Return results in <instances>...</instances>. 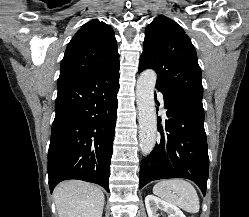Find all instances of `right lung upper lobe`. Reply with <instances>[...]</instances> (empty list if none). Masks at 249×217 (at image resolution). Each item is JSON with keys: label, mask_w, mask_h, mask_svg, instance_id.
<instances>
[{"label": "right lung upper lobe", "mask_w": 249, "mask_h": 217, "mask_svg": "<svg viewBox=\"0 0 249 217\" xmlns=\"http://www.w3.org/2000/svg\"><path fill=\"white\" fill-rule=\"evenodd\" d=\"M119 65L113 29L97 19L91 20L69 42L61 62L60 76H95Z\"/></svg>", "instance_id": "1"}]
</instances>
